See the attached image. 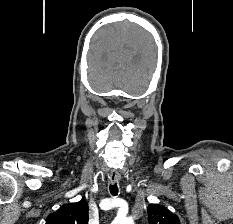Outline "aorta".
I'll return each mask as SVG.
<instances>
[{"label": "aorta", "instance_id": "aorta-1", "mask_svg": "<svg viewBox=\"0 0 233 224\" xmlns=\"http://www.w3.org/2000/svg\"><path fill=\"white\" fill-rule=\"evenodd\" d=\"M112 224H134V221L129 217L117 216Z\"/></svg>", "mask_w": 233, "mask_h": 224}]
</instances>
